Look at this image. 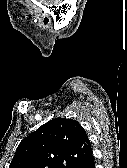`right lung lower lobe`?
<instances>
[{"mask_svg":"<svg viewBox=\"0 0 127 168\" xmlns=\"http://www.w3.org/2000/svg\"><path fill=\"white\" fill-rule=\"evenodd\" d=\"M74 168H95V163L93 157L81 162L76 165Z\"/></svg>","mask_w":127,"mask_h":168,"instance_id":"obj_1","label":"right lung lower lobe"}]
</instances>
